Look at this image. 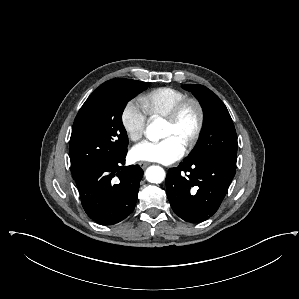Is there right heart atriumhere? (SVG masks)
Masks as SVG:
<instances>
[{"instance_id": "1", "label": "right heart atrium", "mask_w": 299, "mask_h": 299, "mask_svg": "<svg viewBox=\"0 0 299 299\" xmlns=\"http://www.w3.org/2000/svg\"><path fill=\"white\" fill-rule=\"evenodd\" d=\"M147 121V114L137 100H129L124 105L120 114V122L130 140L136 141L143 136Z\"/></svg>"}]
</instances>
